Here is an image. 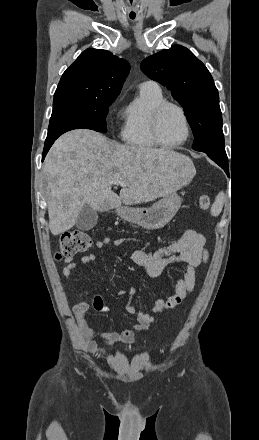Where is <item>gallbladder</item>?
<instances>
[{"label": "gallbladder", "instance_id": "1", "mask_svg": "<svg viewBox=\"0 0 259 440\" xmlns=\"http://www.w3.org/2000/svg\"><path fill=\"white\" fill-rule=\"evenodd\" d=\"M97 221V212L90 206L85 205L80 211L75 225L78 229L87 231L92 229L97 224Z\"/></svg>", "mask_w": 259, "mask_h": 440}]
</instances>
